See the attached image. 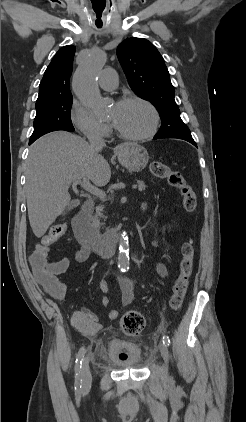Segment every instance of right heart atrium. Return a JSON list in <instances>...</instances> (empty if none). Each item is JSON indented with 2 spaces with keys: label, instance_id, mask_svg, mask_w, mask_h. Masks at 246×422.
Returning <instances> with one entry per match:
<instances>
[{
  "label": "right heart atrium",
  "instance_id": "obj_1",
  "mask_svg": "<svg viewBox=\"0 0 246 422\" xmlns=\"http://www.w3.org/2000/svg\"><path fill=\"white\" fill-rule=\"evenodd\" d=\"M71 121L74 127L88 139H101L106 137L109 126L94 118L81 104L74 102L71 109Z\"/></svg>",
  "mask_w": 246,
  "mask_h": 422
}]
</instances>
